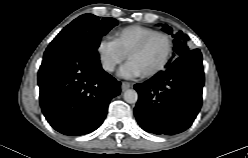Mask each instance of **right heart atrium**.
I'll return each mask as SVG.
<instances>
[{
    "mask_svg": "<svg viewBox=\"0 0 248 158\" xmlns=\"http://www.w3.org/2000/svg\"><path fill=\"white\" fill-rule=\"evenodd\" d=\"M96 50L102 68L110 73L126 59V54L113 40L108 38L100 39Z\"/></svg>",
    "mask_w": 248,
    "mask_h": 158,
    "instance_id": "d8ad5b80",
    "label": "right heart atrium"
}]
</instances>
